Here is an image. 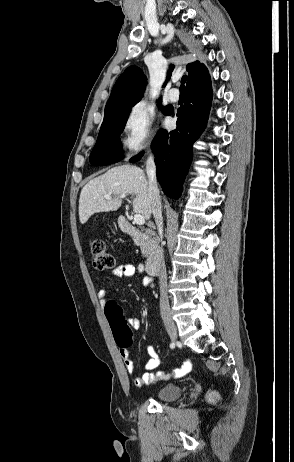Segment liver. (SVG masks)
<instances>
[{
	"label": "liver",
	"mask_w": 294,
	"mask_h": 462,
	"mask_svg": "<svg viewBox=\"0 0 294 462\" xmlns=\"http://www.w3.org/2000/svg\"><path fill=\"white\" fill-rule=\"evenodd\" d=\"M110 195V199H105ZM135 195L133 211L146 220L152 214L149 182L142 169L132 165L111 168L103 175L89 181L81 190L79 219L81 224L99 212L116 211L122 204L121 196ZM123 197V198H124Z\"/></svg>",
	"instance_id": "liver-1"
}]
</instances>
